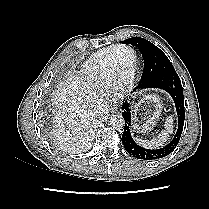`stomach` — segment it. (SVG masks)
<instances>
[{
    "label": "stomach",
    "instance_id": "0dacf381",
    "mask_svg": "<svg viewBox=\"0 0 209 209\" xmlns=\"http://www.w3.org/2000/svg\"><path fill=\"white\" fill-rule=\"evenodd\" d=\"M162 111V103L154 94H146L141 97L133 108V129L145 133L156 124Z\"/></svg>",
    "mask_w": 209,
    "mask_h": 209
}]
</instances>
